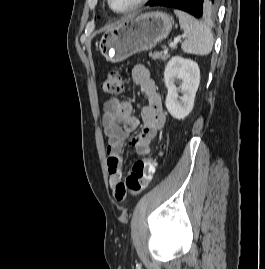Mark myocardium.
I'll return each instance as SVG.
<instances>
[{
    "label": "myocardium",
    "mask_w": 265,
    "mask_h": 269,
    "mask_svg": "<svg viewBox=\"0 0 265 269\" xmlns=\"http://www.w3.org/2000/svg\"><path fill=\"white\" fill-rule=\"evenodd\" d=\"M149 0H135L129 7L122 9V10H116L113 8L112 6V1L111 0H107V4L109 6V8L117 13V14H126L129 12H132L138 8H140L141 6H143L145 3H147Z\"/></svg>",
    "instance_id": "f54148a6"
}]
</instances>
